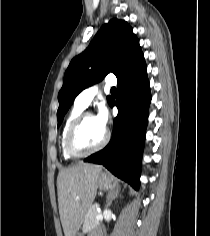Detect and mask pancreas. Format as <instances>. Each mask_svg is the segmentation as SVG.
<instances>
[{
	"label": "pancreas",
	"mask_w": 210,
	"mask_h": 236,
	"mask_svg": "<svg viewBox=\"0 0 210 236\" xmlns=\"http://www.w3.org/2000/svg\"><path fill=\"white\" fill-rule=\"evenodd\" d=\"M98 207L99 204H94L88 209L84 217L83 232H88L99 224V220L95 218L98 214Z\"/></svg>",
	"instance_id": "obj_1"
}]
</instances>
